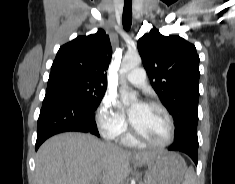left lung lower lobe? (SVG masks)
<instances>
[{"mask_svg":"<svg viewBox=\"0 0 235 184\" xmlns=\"http://www.w3.org/2000/svg\"><path fill=\"white\" fill-rule=\"evenodd\" d=\"M168 149L171 151H180L186 153L197 165L198 142L188 139H179L175 140V142Z\"/></svg>","mask_w":235,"mask_h":184,"instance_id":"left-lung-lower-lobe-1","label":"left lung lower lobe"}]
</instances>
